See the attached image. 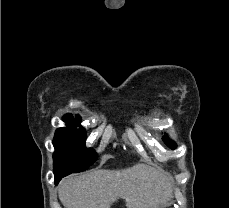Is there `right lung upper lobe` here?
<instances>
[{"label": "right lung upper lobe", "mask_w": 229, "mask_h": 208, "mask_svg": "<svg viewBox=\"0 0 229 208\" xmlns=\"http://www.w3.org/2000/svg\"><path fill=\"white\" fill-rule=\"evenodd\" d=\"M64 117H73V116L71 114H67ZM76 118H80V116L79 115H76Z\"/></svg>", "instance_id": "obj_1"}]
</instances>
